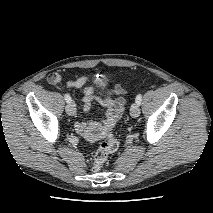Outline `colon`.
<instances>
[{"mask_svg":"<svg viewBox=\"0 0 213 213\" xmlns=\"http://www.w3.org/2000/svg\"><path fill=\"white\" fill-rule=\"evenodd\" d=\"M105 140L99 145L93 157L92 168L95 171L100 170L106 163L108 157L119 147L117 139L114 137L111 127L104 132Z\"/></svg>","mask_w":213,"mask_h":213,"instance_id":"5ec220e1","label":"colon"}]
</instances>
